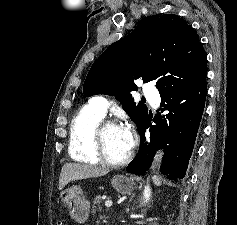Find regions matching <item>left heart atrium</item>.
Segmentation results:
<instances>
[{"mask_svg":"<svg viewBox=\"0 0 237 225\" xmlns=\"http://www.w3.org/2000/svg\"><path fill=\"white\" fill-rule=\"evenodd\" d=\"M124 132L126 134L127 137V141H128V145H129V150H131L132 146H133V131L131 129L130 126H123Z\"/></svg>","mask_w":237,"mask_h":225,"instance_id":"left-heart-atrium-1","label":"left heart atrium"}]
</instances>
